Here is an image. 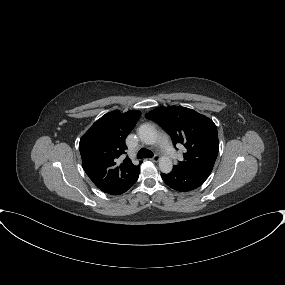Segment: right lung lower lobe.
<instances>
[{
    "label": "right lung lower lobe",
    "mask_w": 285,
    "mask_h": 285,
    "mask_svg": "<svg viewBox=\"0 0 285 285\" xmlns=\"http://www.w3.org/2000/svg\"><path fill=\"white\" fill-rule=\"evenodd\" d=\"M137 179H138V177L135 180H133L131 183L127 184L124 188H122L120 190H117L115 192H111L109 194H111V195H120V194L126 192L137 181Z\"/></svg>",
    "instance_id": "obj_1"
}]
</instances>
